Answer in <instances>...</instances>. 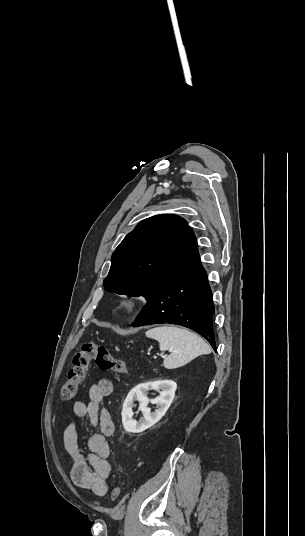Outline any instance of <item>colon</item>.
<instances>
[{
  "label": "colon",
  "instance_id": "1",
  "mask_svg": "<svg viewBox=\"0 0 305 536\" xmlns=\"http://www.w3.org/2000/svg\"><path fill=\"white\" fill-rule=\"evenodd\" d=\"M92 360L103 370H112L120 374H127L129 372L127 362L114 358L106 347L92 341H85L81 343L80 348L73 354L72 363L68 371V379L63 383L61 388V398L63 401L68 402L75 397L77 389L86 380L88 366ZM119 494V487H113L111 500L116 501Z\"/></svg>",
  "mask_w": 305,
  "mask_h": 536
}]
</instances>
